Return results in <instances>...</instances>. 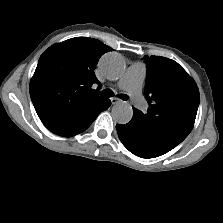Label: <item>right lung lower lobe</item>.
<instances>
[{
    "instance_id": "1",
    "label": "right lung lower lobe",
    "mask_w": 223,
    "mask_h": 223,
    "mask_svg": "<svg viewBox=\"0 0 223 223\" xmlns=\"http://www.w3.org/2000/svg\"><path fill=\"white\" fill-rule=\"evenodd\" d=\"M110 106V100L109 99H107V102H106V104H105V107H104V109L103 110H101V111H104V110H106V109H108V107ZM100 111V112H101ZM99 112V113H100ZM85 131V130H84ZM55 134H57V135H60V136H65V137H70V136H74V135H76V134H63L62 132L61 133H55Z\"/></svg>"
}]
</instances>
